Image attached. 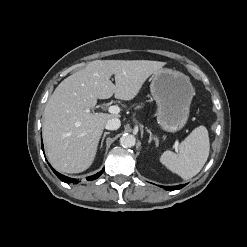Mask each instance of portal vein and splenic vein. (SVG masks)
Returning a JSON list of instances; mask_svg holds the SVG:
<instances>
[{"label": "portal vein and splenic vein", "instance_id": "1", "mask_svg": "<svg viewBox=\"0 0 247 247\" xmlns=\"http://www.w3.org/2000/svg\"><path fill=\"white\" fill-rule=\"evenodd\" d=\"M89 111V110H87ZM108 111L111 113V114H118L120 112V107L116 106V105H113V106H110L108 108Z\"/></svg>", "mask_w": 247, "mask_h": 247}]
</instances>
